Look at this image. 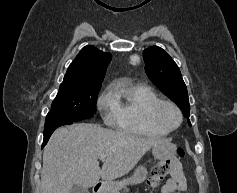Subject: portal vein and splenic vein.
I'll return each mask as SVG.
<instances>
[{
	"instance_id": "portal-vein-and-splenic-vein-1",
	"label": "portal vein and splenic vein",
	"mask_w": 237,
	"mask_h": 193,
	"mask_svg": "<svg viewBox=\"0 0 237 193\" xmlns=\"http://www.w3.org/2000/svg\"><path fill=\"white\" fill-rule=\"evenodd\" d=\"M105 158H106V155H105V154H102V155H100V157H99L100 160H104Z\"/></svg>"
}]
</instances>
